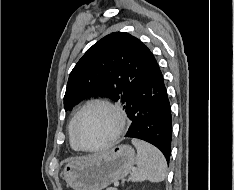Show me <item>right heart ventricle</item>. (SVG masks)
<instances>
[{
  "label": "right heart ventricle",
  "mask_w": 234,
  "mask_h": 190,
  "mask_svg": "<svg viewBox=\"0 0 234 190\" xmlns=\"http://www.w3.org/2000/svg\"><path fill=\"white\" fill-rule=\"evenodd\" d=\"M74 119H75V117L70 121V124H69V134H70L71 146H72L74 149L77 150L78 147L75 145V143L72 141V138H71V130H72V125H73Z\"/></svg>",
  "instance_id": "e07e8e85"
}]
</instances>
